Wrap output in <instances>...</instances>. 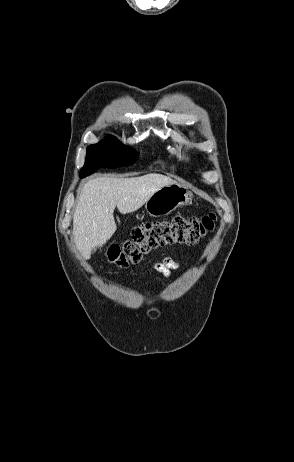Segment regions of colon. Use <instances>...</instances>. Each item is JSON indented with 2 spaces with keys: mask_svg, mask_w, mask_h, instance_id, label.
<instances>
[{
  "mask_svg": "<svg viewBox=\"0 0 294 462\" xmlns=\"http://www.w3.org/2000/svg\"><path fill=\"white\" fill-rule=\"evenodd\" d=\"M216 217L176 215L169 219L143 223L132 230L122 245L112 244L107 251L108 261L120 268L138 263L153 249L173 244H198L214 230Z\"/></svg>",
  "mask_w": 294,
  "mask_h": 462,
  "instance_id": "1",
  "label": "colon"
}]
</instances>
